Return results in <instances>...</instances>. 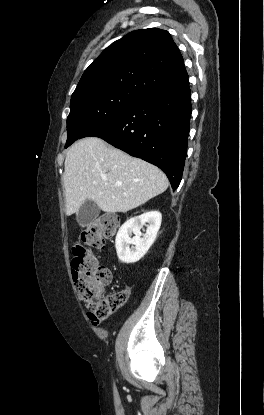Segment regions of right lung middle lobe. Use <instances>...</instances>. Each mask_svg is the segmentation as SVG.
I'll use <instances>...</instances> for the list:
<instances>
[{"label":"right lung middle lobe","mask_w":264,"mask_h":415,"mask_svg":"<svg viewBox=\"0 0 264 415\" xmlns=\"http://www.w3.org/2000/svg\"><path fill=\"white\" fill-rule=\"evenodd\" d=\"M141 99L142 97L136 94L121 91L71 99L65 148L77 139L87 137L97 128L116 119Z\"/></svg>","instance_id":"right-lung-middle-lobe-1"}]
</instances>
